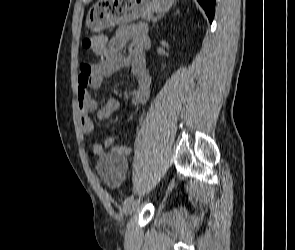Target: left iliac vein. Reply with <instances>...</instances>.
<instances>
[{
    "mask_svg": "<svg viewBox=\"0 0 295 250\" xmlns=\"http://www.w3.org/2000/svg\"><path fill=\"white\" fill-rule=\"evenodd\" d=\"M139 203H140V200L132 201L128 206L124 208V213L127 214L130 212H133L138 207Z\"/></svg>",
    "mask_w": 295,
    "mask_h": 250,
    "instance_id": "1",
    "label": "left iliac vein"
}]
</instances>
